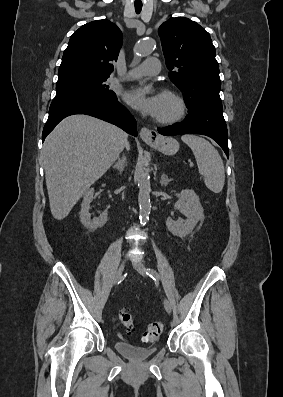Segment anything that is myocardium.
<instances>
[{
	"label": "myocardium",
	"mask_w": 283,
	"mask_h": 397,
	"mask_svg": "<svg viewBox=\"0 0 283 397\" xmlns=\"http://www.w3.org/2000/svg\"><path fill=\"white\" fill-rule=\"evenodd\" d=\"M160 95L174 99L177 104V111L169 117L156 118V122L162 125H170L183 119L187 111V104L183 96L172 89H164L161 91Z\"/></svg>",
	"instance_id": "f54148a6"
}]
</instances>
